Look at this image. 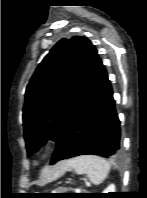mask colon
<instances>
[{
	"mask_svg": "<svg viewBox=\"0 0 147 198\" xmlns=\"http://www.w3.org/2000/svg\"><path fill=\"white\" fill-rule=\"evenodd\" d=\"M64 190H74L73 188H63Z\"/></svg>",
	"mask_w": 147,
	"mask_h": 198,
	"instance_id": "colon-1",
	"label": "colon"
}]
</instances>
